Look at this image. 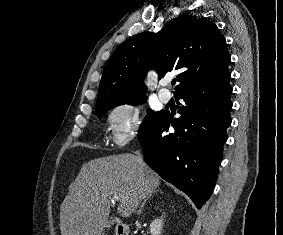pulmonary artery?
Returning a JSON list of instances; mask_svg holds the SVG:
<instances>
[{"label":"pulmonary artery","mask_w":283,"mask_h":235,"mask_svg":"<svg viewBox=\"0 0 283 235\" xmlns=\"http://www.w3.org/2000/svg\"><path fill=\"white\" fill-rule=\"evenodd\" d=\"M167 85H168V82L163 81L161 83L162 88L158 91V97L163 103H168L172 97L171 93L167 89H164V87Z\"/></svg>","instance_id":"obj_1"}]
</instances>
